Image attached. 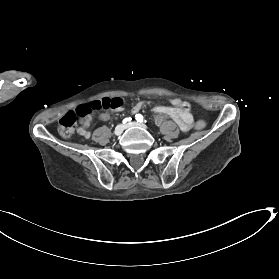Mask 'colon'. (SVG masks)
Returning <instances> with one entry per match:
<instances>
[{
	"instance_id": "obj_1",
	"label": "colon",
	"mask_w": 279,
	"mask_h": 279,
	"mask_svg": "<svg viewBox=\"0 0 279 279\" xmlns=\"http://www.w3.org/2000/svg\"><path fill=\"white\" fill-rule=\"evenodd\" d=\"M181 106L190 114L197 110V105L193 101L179 99ZM123 100L121 98H104L83 103L74 110L67 112L60 120L58 129L60 134L65 138H70L75 133L80 119L86 118L92 111L110 109L115 110L122 107ZM206 123L203 120H198L195 123L197 130H203Z\"/></svg>"
}]
</instances>
